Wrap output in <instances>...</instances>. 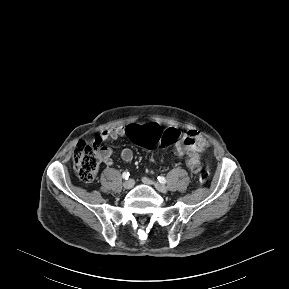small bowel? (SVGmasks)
I'll list each match as a JSON object with an SVG mask.
<instances>
[{"mask_svg": "<svg viewBox=\"0 0 289 289\" xmlns=\"http://www.w3.org/2000/svg\"><path fill=\"white\" fill-rule=\"evenodd\" d=\"M127 133L125 127H115L112 129L102 131L97 141L99 143L108 139H118ZM210 144L207 138L199 134L197 131L189 129L184 132L182 138L176 143L175 151L178 156L185 158L188 167L194 173H197L201 169V154L204 153ZM101 160L106 165H111L112 150L108 147L101 148ZM120 157L125 162H130L133 159V151L130 148H123L120 151Z\"/></svg>", "mask_w": 289, "mask_h": 289, "instance_id": "obj_1", "label": "small bowel"}]
</instances>
